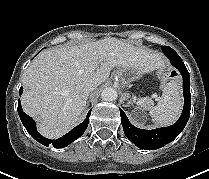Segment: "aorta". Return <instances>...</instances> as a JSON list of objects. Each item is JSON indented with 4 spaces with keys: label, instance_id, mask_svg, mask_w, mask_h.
<instances>
[{
    "label": "aorta",
    "instance_id": "1",
    "mask_svg": "<svg viewBox=\"0 0 209 179\" xmlns=\"http://www.w3.org/2000/svg\"><path fill=\"white\" fill-rule=\"evenodd\" d=\"M117 91L114 88H105L101 93V98L104 101H115L117 99Z\"/></svg>",
    "mask_w": 209,
    "mask_h": 179
}]
</instances>
